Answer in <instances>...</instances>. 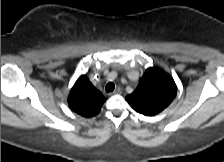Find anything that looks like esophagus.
Masks as SVG:
<instances>
[{
    "label": "esophagus",
    "instance_id": "1",
    "mask_svg": "<svg viewBox=\"0 0 224 162\" xmlns=\"http://www.w3.org/2000/svg\"><path fill=\"white\" fill-rule=\"evenodd\" d=\"M121 93H122V89L117 88L113 92L109 93V95H117V94H121Z\"/></svg>",
    "mask_w": 224,
    "mask_h": 162
}]
</instances>
